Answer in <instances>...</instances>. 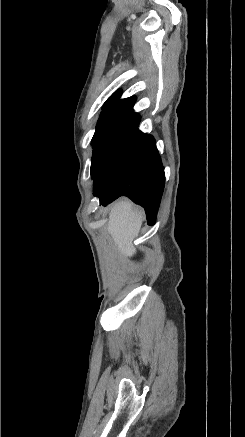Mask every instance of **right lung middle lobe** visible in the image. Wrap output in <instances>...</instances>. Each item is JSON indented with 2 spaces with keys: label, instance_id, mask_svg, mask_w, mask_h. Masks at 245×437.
Wrapping results in <instances>:
<instances>
[{
  "label": "right lung middle lobe",
  "instance_id": "dd1d6c3e",
  "mask_svg": "<svg viewBox=\"0 0 245 437\" xmlns=\"http://www.w3.org/2000/svg\"><path fill=\"white\" fill-rule=\"evenodd\" d=\"M140 119V115L130 108L120 106L103 107L102 114L92 138V178L116 144L128 132L139 125Z\"/></svg>",
  "mask_w": 245,
  "mask_h": 437
}]
</instances>
